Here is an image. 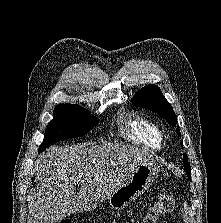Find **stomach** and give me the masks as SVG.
Masks as SVG:
<instances>
[{
	"label": "stomach",
	"instance_id": "1",
	"mask_svg": "<svg viewBox=\"0 0 221 223\" xmlns=\"http://www.w3.org/2000/svg\"><path fill=\"white\" fill-rule=\"evenodd\" d=\"M159 166L154 162L137 166L126 181L108 198L113 209L121 210L143 194L158 177Z\"/></svg>",
	"mask_w": 221,
	"mask_h": 223
}]
</instances>
